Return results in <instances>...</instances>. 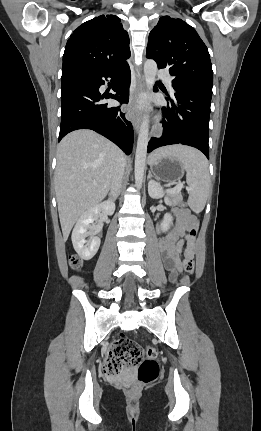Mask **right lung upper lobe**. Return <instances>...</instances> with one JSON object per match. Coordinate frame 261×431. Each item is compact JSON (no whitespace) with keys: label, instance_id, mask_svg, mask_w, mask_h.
I'll return each mask as SVG.
<instances>
[{"label":"right lung upper lobe","instance_id":"obj_1","mask_svg":"<svg viewBox=\"0 0 261 431\" xmlns=\"http://www.w3.org/2000/svg\"><path fill=\"white\" fill-rule=\"evenodd\" d=\"M130 57L128 33L114 15H101L80 25L67 41L62 73L77 69H113Z\"/></svg>","mask_w":261,"mask_h":431}]
</instances>
